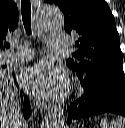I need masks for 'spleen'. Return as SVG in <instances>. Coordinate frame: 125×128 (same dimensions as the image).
<instances>
[{
	"mask_svg": "<svg viewBox=\"0 0 125 128\" xmlns=\"http://www.w3.org/2000/svg\"><path fill=\"white\" fill-rule=\"evenodd\" d=\"M101 128H125V118L117 117L111 123L104 118L101 120Z\"/></svg>",
	"mask_w": 125,
	"mask_h": 128,
	"instance_id": "spleen-1",
	"label": "spleen"
}]
</instances>
